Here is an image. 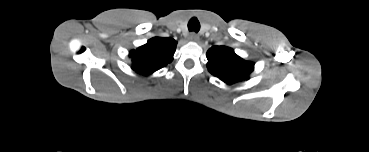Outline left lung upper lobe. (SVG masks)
I'll return each instance as SVG.
<instances>
[{"label":"left lung upper lobe","instance_id":"5c2ea615","mask_svg":"<svg viewBox=\"0 0 369 152\" xmlns=\"http://www.w3.org/2000/svg\"><path fill=\"white\" fill-rule=\"evenodd\" d=\"M209 72L227 84L248 79L254 63L243 60L227 46H213L207 51Z\"/></svg>","mask_w":369,"mask_h":152}]
</instances>
